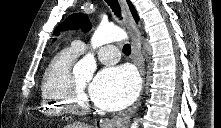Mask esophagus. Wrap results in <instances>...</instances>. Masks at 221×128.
<instances>
[{
    "label": "esophagus",
    "mask_w": 221,
    "mask_h": 128,
    "mask_svg": "<svg viewBox=\"0 0 221 128\" xmlns=\"http://www.w3.org/2000/svg\"><path fill=\"white\" fill-rule=\"evenodd\" d=\"M122 15L124 17V22L126 28L132 37V59L133 62L138 66L141 76L143 78V87L145 82V65L144 59L141 52V36L138 26L130 12L126 0H119ZM142 95V93H141ZM141 96L135 102V104L130 107L127 111L118 113L112 119L106 120L102 123H99L100 128H126L131 120V117L135 114L137 108L140 105Z\"/></svg>",
    "instance_id": "esophagus-1"
}]
</instances>
